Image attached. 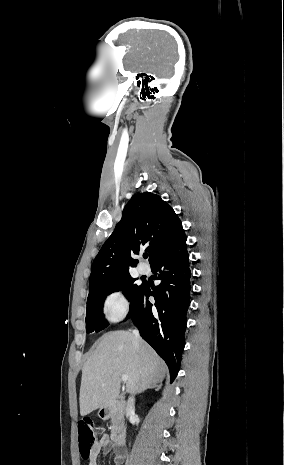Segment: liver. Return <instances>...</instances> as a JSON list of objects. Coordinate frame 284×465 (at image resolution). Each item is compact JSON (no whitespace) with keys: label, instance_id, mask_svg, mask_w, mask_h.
<instances>
[{"label":"liver","instance_id":"liver-1","mask_svg":"<svg viewBox=\"0 0 284 465\" xmlns=\"http://www.w3.org/2000/svg\"><path fill=\"white\" fill-rule=\"evenodd\" d=\"M167 367L143 339L127 331H113L101 337L96 351L82 369L80 415L108 407L118 399L122 375H127L126 393H141L155 387Z\"/></svg>","mask_w":284,"mask_h":465}]
</instances>
